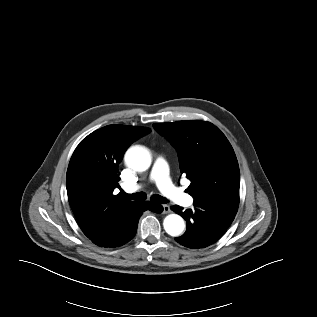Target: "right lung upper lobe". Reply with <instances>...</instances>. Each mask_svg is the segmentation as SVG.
Instances as JSON below:
<instances>
[{
	"instance_id": "obj_1",
	"label": "right lung upper lobe",
	"mask_w": 317,
	"mask_h": 317,
	"mask_svg": "<svg viewBox=\"0 0 317 317\" xmlns=\"http://www.w3.org/2000/svg\"><path fill=\"white\" fill-rule=\"evenodd\" d=\"M150 131L138 126L109 125L80 142L66 177L69 203L78 221L91 215L111 220L135 203L121 193L113 195L119 187L118 165L129 145Z\"/></svg>"
}]
</instances>
